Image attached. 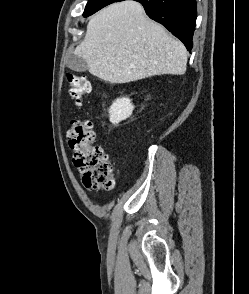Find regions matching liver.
<instances>
[{
	"mask_svg": "<svg viewBox=\"0 0 249 294\" xmlns=\"http://www.w3.org/2000/svg\"><path fill=\"white\" fill-rule=\"evenodd\" d=\"M74 54L87 62L92 75L118 84L162 74L182 75L188 59L184 45L148 19L143 6L133 0L96 13Z\"/></svg>",
	"mask_w": 249,
	"mask_h": 294,
	"instance_id": "obj_1",
	"label": "liver"
}]
</instances>
